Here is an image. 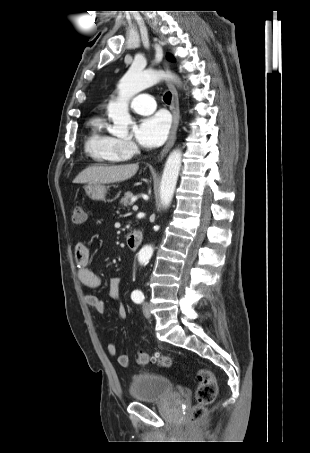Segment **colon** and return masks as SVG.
I'll return each mask as SVG.
<instances>
[{
	"label": "colon",
	"instance_id": "colon-1",
	"mask_svg": "<svg viewBox=\"0 0 310 453\" xmlns=\"http://www.w3.org/2000/svg\"><path fill=\"white\" fill-rule=\"evenodd\" d=\"M86 220V214L81 206H76L73 210L72 221L76 225H81ZM156 363L162 367H169L172 364V359L168 355L160 353L149 354L147 352H139L137 363L146 365L148 363ZM198 386L196 389V405L190 412V422L197 423L201 420L206 412V408L211 405L218 392V385L215 375L207 369H199L196 373Z\"/></svg>",
	"mask_w": 310,
	"mask_h": 453
}]
</instances>
